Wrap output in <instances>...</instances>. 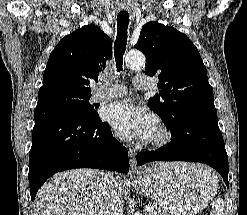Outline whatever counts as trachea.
Returning a JSON list of instances; mask_svg holds the SVG:
<instances>
[{"label":"trachea","mask_w":247,"mask_h":215,"mask_svg":"<svg viewBox=\"0 0 247 215\" xmlns=\"http://www.w3.org/2000/svg\"><path fill=\"white\" fill-rule=\"evenodd\" d=\"M128 24L129 14L125 11H121L117 16V36L114 42V56L117 72H120L123 66V55L127 43Z\"/></svg>","instance_id":"1"}]
</instances>
